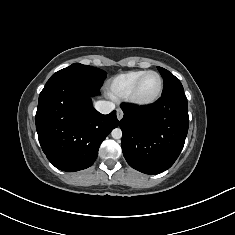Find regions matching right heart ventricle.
I'll list each match as a JSON object with an SVG mask.
<instances>
[{
    "label": "right heart ventricle",
    "mask_w": 235,
    "mask_h": 235,
    "mask_svg": "<svg viewBox=\"0 0 235 235\" xmlns=\"http://www.w3.org/2000/svg\"><path fill=\"white\" fill-rule=\"evenodd\" d=\"M145 72V70H134L114 76L108 83V93L113 98H127L135 81Z\"/></svg>",
    "instance_id": "right-heart-ventricle-1"
}]
</instances>
